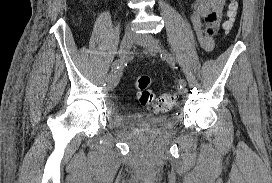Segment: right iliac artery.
<instances>
[{"instance_id":"82829eb1","label":"right iliac artery","mask_w":272,"mask_h":183,"mask_svg":"<svg viewBox=\"0 0 272 183\" xmlns=\"http://www.w3.org/2000/svg\"><path fill=\"white\" fill-rule=\"evenodd\" d=\"M122 61L121 59L116 60L113 65L112 68L108 69V72L110 73V78H118V76L120 75L119 70H117V68H120Z\"/></svg>"}]
</instances>
